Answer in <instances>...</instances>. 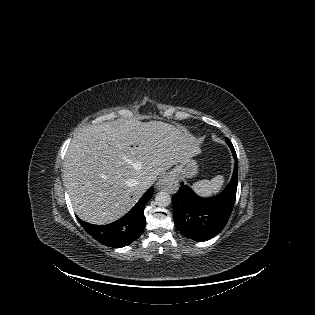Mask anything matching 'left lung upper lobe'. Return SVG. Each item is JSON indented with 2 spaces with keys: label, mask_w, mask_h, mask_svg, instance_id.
I'll return each mask as SVG.
<instances>
[{
  "label": "left lung upper lobe",
  "mask_w": 315,
  "mask_h": 315,
  "mask_svg": "<svg viewBox=\"0 0 315 315\" xmlns=\"http://www.w3.org/2000/svg\"><path fill=\"white\" fill-rule=\"evenodd\" d=\"M227 144L229 145V147H231L232 149H234L232 143L230 142V140L228 139ZM235 150V149H234Z\"/></svg>",
  "instance_id": "obj_1"
}]
</instances>
